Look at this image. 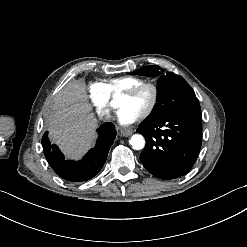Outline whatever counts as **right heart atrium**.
<instances>
[{
  "mask_svg": "<svg viewBox=\"0 0 247 247\" xmlns=\"http://www.w3.org/2000/svg\"><path fill=\"white\" fill-rule=\"evenodd\" d=\"M88 90L92 94L93 103L99 108L100 114H107L110 101V94L107 92V88L102 83L93 82L89 85Z\"/></svg>",
  "mask_w": 247,
  "mask_h": 247,
  "instance_id": "right-heart-atrium-1",
  "label": "right heart atrium"
}]
</instances>
